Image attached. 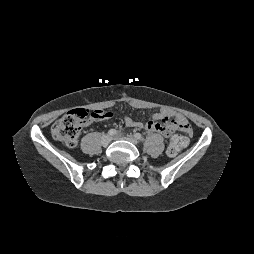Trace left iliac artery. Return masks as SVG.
Wrapping results in <instances>:
<instances>
[{
  "mask_svg": "<svg viewBox=\"0 0 254 254\" xmlns=\"http://www.w3.org/2000/svg\"><path fill=\"white\" fill-rule=\"evenodd\" d=\"M135 138L138 139V140H141L142 139V136L140 133H136L135 135Z\"/></svg>",
  "mask_w": 254,
  "mask_h": 254,
  "instance_id": "left-iliac-artery-1",
  "label": "left iliac artery"
}]
</instances>
